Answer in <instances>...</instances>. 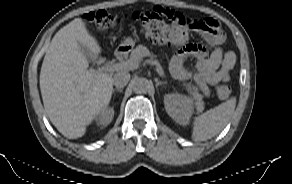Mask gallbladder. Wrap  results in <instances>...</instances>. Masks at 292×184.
I'll use <instances>...</instances> for the list:
<instances>
[{
  "label": "gallbladder",
  "mask_w": 292,
  "mask_h": 184,
  "mask_svg": "<svg viewBox=\"0 0 292 184\" xmlns=\"http://www.w3.org/2000/svg\"><path fill=\"white\" fill-rule=\"evenodd\" d=\"M80 47H81V51L84 54V56L86 57V59L93 60L91 51L89 49H87L86 47H84L83 45H80Z\"/></svg>",
  "instance_id": "bac80fb5"
}]
</instances>
